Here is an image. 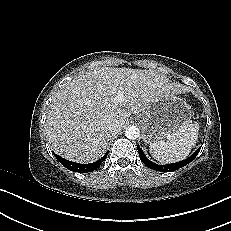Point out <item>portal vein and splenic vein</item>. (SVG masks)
<instances>
[{"label": "portal vein and splenic vein", "instance_id": "18ae733b", "mask_svg": "<svg viewBox=\"0 0 231 231\" xmlns=\"http://www.w3.org/2000/svg\"><path fill=\"white\" fill-rule=\"evenodd\" d=\"M123 101V94L121 92H118L116 97L114 98V102H121Z\"/></svg>", "mask_w": 231, "mask_h": 231}]
</instances>
